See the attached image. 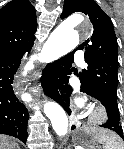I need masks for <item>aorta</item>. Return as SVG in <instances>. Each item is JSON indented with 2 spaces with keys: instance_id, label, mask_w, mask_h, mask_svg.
Instances as JSON below:
<instances>
[{
  "instance_id": "aorta-1",
  "label": "aorta",
  "mask_w": 124,
  "mask_h": 149,
  "mask_svg": "<svg viewBox=\"0 0 124 149\" xmlns=\"http://www.w3.org/2000/svg\"><path fill=\"white\" fill-rule=\"evenodd\" d=\"M84 20L82 15L74 14L61 22L45 43V51L60 55L73 50L79 43V33L76 27L81 25ZM44 112L50 119L55 133L58 136L65 135L68 130V118L62 107L55 102H49L45 105Z\"/></svg>"
}]
</instances>
